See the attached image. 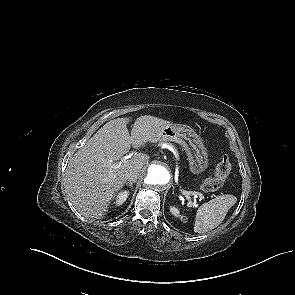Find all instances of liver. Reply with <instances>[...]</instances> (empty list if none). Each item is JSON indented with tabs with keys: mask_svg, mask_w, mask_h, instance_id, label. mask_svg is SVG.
Returning <instances> with one entry per match:
<instances>
[{
	"mask_svg": "<svg viewBox=\"0 0 295 295\" xmlns=\"http://www.w3.org/2000/svg\"><path fill=\"white\" fill-rule=\"evenodd\" d=\"M129 121V118H117L107 122L69 160L65 190L77 211L87 218L103 217L115 194L124 186L126 172L130 169L140 172L149 161V156L143 153L119 161L131 145L143 146L150 141L154 130L172 125L150 115L140 116L134 122L130 136ZM116 164H120L119 168H113Z\"/></svg>",
	"mask_w": 295,
	"mask_h": 295,
	"instance_id": "1",
	"label": "liver"
}]
</instances>
